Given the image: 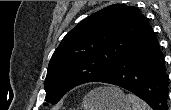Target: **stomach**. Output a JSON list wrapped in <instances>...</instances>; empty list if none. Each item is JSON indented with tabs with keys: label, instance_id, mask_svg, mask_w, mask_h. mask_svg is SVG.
<instances>
[{
	"label": "stomach",
	"instance_id": "1",
	"mask_svg": "<svg viewBox=\"0 0 171 110\" xmlns=\"http://www.w3.org/2000/svg\"><path fill=\"white\" fill-rule=\"evenodd\" d=\"M84 110H131V104L117 87H100L89 92L83 99Z\"/></svg>",
	"mask_w": 171,
	"mask_h": 110
}]
</instances>
